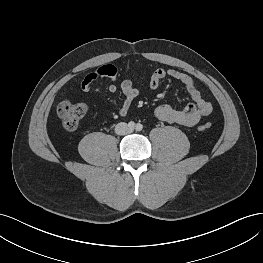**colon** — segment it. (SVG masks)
<instances>
[{
  "label": "colon",
  "instance_id": "colon-1",
  "mask_svg": "<svg viewBox=\"0 0 263 263\" xmlns=\"http://www.w3.org/2000/svg\"><path fill=\"white\" fill-rule=\"evenodd\" d=\"M86 112V106L80 102H73L69 99L62 100L57 107V114L62 127L66 130H75ZM210 124H203L200 130L205 131Z\"/></svg>",
  "mask_w": 263,
  "mask_h": 263
}]
</instances>
